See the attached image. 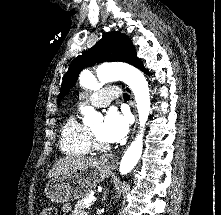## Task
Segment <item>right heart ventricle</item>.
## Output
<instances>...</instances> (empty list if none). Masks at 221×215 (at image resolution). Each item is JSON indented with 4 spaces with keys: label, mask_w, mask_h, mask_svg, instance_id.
<instances>
[{
    "label": "right heart ventricle",
    "mask_w": 221,
    "mask_h": 215,
    "mask_svg": "<svg viewBox=\"0 0 221 215\" xmlns=\"http://www.w3.org/2000/svg\"><path fill=\"white\" fill-rule=\"evenodd\" d=\"M60 148L68 155H86L90 152L89 128L76 115H70L61 128Z\"/></svg>",
    "instance_id": "1"
}]
</instances>
